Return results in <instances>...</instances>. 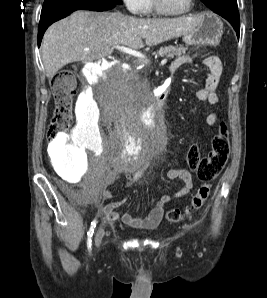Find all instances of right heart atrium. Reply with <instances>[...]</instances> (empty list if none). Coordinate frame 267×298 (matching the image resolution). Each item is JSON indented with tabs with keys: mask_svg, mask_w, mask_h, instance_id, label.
Instances as JSON below:
<instances>
[{
	"mask_svg": "<svg viewBox=\"0 0 267 298\" xmlns=\"http://www.w3.org/2000/svg\"><path fill=\"white\" fill-rule=\"evenodd\" d=\"M125 7L132 14H139L144 11L146 0H123Z\"/></svg>",
	"mask_w": 267,
	"mask_h": 298,
	"instance_id": "1",
	"label": "right heart atrium"
}]
</instances>
